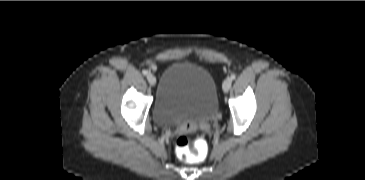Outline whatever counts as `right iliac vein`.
Returning <instances> with one entry per match:
<instances>
[{"label": "right iliac vein", "instance_id": "1", "mask_svg": "<svg viewBox=\"0 0 365 180\" xmlns=\"http://www.w3.org/2000/svg\"><path fill=\"white\" fill-rule=\"evenodd\" d=\"M147 80L153 86L156 84V77L153 74H148Z\"/></svg>", "mask_w": 365, "mask_h": 180}]
</instances>
